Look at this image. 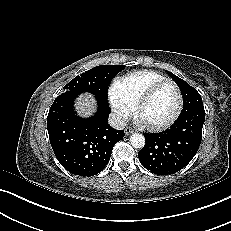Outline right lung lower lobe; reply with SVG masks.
<instances>
[{
	"instance_id": "98d812e1",
	"label": "right lung lower lobe",
	"mask_w": 231,
	"mask_h": 231,
	"mask_svg": "<svg viewBox=\"0 0 231 231\" xmlns=\"http://www.w3.org/2000/svg\"><path fill=\"white\" fill-rule=\"evenodd\" d=\"M78 94L76 90H69L54 100L48 113L47 129L61 165L72 174L89 177L105 168L114 145L125 134L108 124L110 107L99 100L94 116L77 117L73 101Z\"/></svg>"
}]
</instances>
